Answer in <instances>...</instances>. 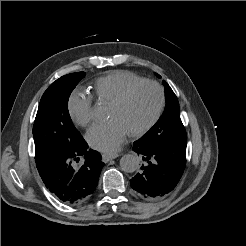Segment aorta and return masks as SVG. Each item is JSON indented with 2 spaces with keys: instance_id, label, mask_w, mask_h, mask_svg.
I'll use <instances>...</instances> for the list:
<instances>
[{
  "instance_id": "762f6f07",
  "label": "aorta",
  "mask_w": 246,
  "mask_h": 246,
  "mask_svg": "<svg viewBox=\"0 0 246 246\" xmlns=\"http://www.w3.org/2000/svg\"><path fill=\"white\" fill-rule=\"evenodd\" d=\"M140 160L133 154H126L120 159V167L124 172L132 173L139 168Z\"/></svg>"
}]
</instances>
